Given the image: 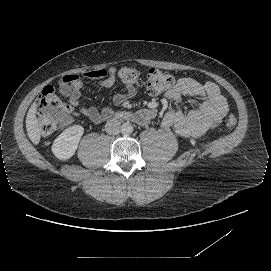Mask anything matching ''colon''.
Segmentation results:
<instances>
[{"label":"colon","mask_w":271,"mask_h":271,"mask_svg":"<svg viewBox=\"0 0 271 271\" xmlns=\"http://www.w3.org/2000/svg\"><path fill=\"white\" fill-rule=\"evenodd\" d=\"M120 80L136 89L140 81V72L135 65L127 66L119 71ZM174 84V79L158 69H150L147 74L146 88L149 94L158 95L169 90ZM36 118L40 132L48 136L58 128L66 126L71 119L70 108L56 95L52 86H46L38 97L36 103ZM225 123L227 127L234 128L236 119L228 115Z\"/></svg>","instance_id":"1"}]
</instances>
